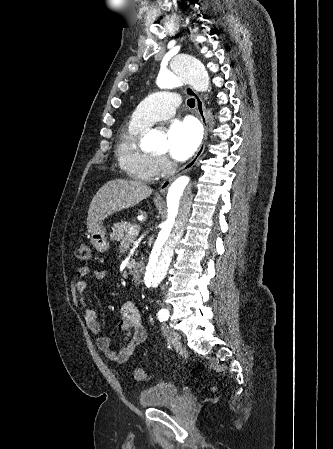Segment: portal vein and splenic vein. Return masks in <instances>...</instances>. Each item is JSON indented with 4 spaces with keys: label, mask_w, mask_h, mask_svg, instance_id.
I'll use <instances>...</instances> for the list:
<instances>
[{
    "label": "portal vein and splenic vein",
    "mask_w": 333,
    "mask_h": 449,
    "mask_svg": "<svg viewBox=\"0 0 333 449\" xmlns=\"http://www.w3.org/2000/svg\"><path fill=\"white\" fill-rule=\"evenodd\" d=\"M129 233L132 234V235H136V234L138 233V230H137V228H135V227H131V228L129 229Z\"/></svg>",
    "instance_id": "obj_1"
}]
</instances>
